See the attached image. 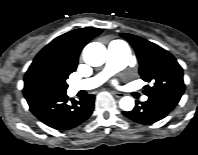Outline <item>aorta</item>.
<instances>
[{
	"mask_svg": "<svg viewBox=\"0 0 198 155\" xmlns=\"http://www.w3.org/2000/svg\"><path fill=\"white\" fill-rule=\"evenodd\" d=\"M107 58V50L105 46L99 42H92L85 46L83 50V59L90 66H101ZM120 108L124 111H131L134 108V99L125 96L119 101Z\"/></svg>",
	"mask_w": 198,
	"mask_h": 155,
	"instance_id": "1",
	"label": "aorta"
}]
</instances>
